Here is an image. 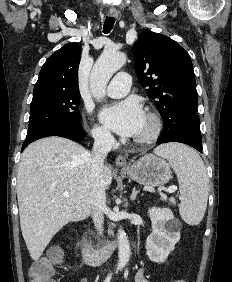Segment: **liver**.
Here are the masks:
<instances>
[{
    "instance_id": "1",
    "label": "liver",
    "mask_w": 232,
    "mask_h": 282,
    "mask_svg": "<svg viewBox=\"0 0 232 282\" xmlns=\"http://www.w3.org/2000/svg\"><path fill=\"white\" fill-rule=\"evenodd\" d=\"M88 155L81 145L62 137L37 140L22 153L16 189L21 231L33 260L64 225L90 215ZM103 180L108 189L112 172L106 165ZM65 191L69 197L63 196Z\"/></svg>"
}]
</instances>
